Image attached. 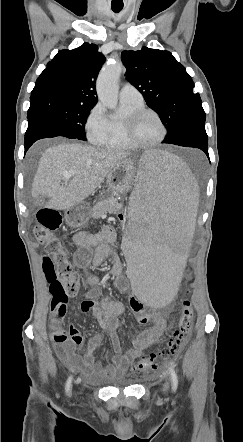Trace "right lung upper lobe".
<instances>
[{
  "label": "right lung upper lobe",
  "instance_id": "1",
  "mask_svg": "<svg viewBox=\"0 0 243 442\" xmlns=\"http://www.w3.org/2000/svg\"><path fill=\"white\" fill-rule=\"evenodd\" d=\"M104 61L94 44L60 50L38 77L31 97L61 95L94 106L98 101L95 81Z\"/></svg>",
  "mask_w": 243,
  "mask_h": 442
}]
</instances>
